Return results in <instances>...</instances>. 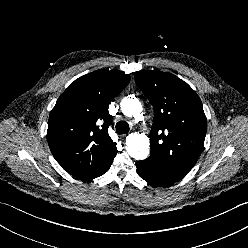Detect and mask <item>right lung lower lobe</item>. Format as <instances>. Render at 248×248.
<instances>
[{"instance_id": "obj_1", "label": "right lung lower lobe", "mask_w": 248, "mask_h": 248, "mask_svg": "<svg viewBox=\"0 0 248 248\" xmlns=\"http://www.w3.org/2000/svg\"><path fill=\"white\" fill-rule=\"evenodd\" d=\"M116 153H117V151L114 153L111 161L97 175L93 176L91 179L99 177V176H101L102 174H104L105 172H107L109 170V168H110V166H111V164L113 162V159L116 156Z\"/></svg>"}]
</instances>
